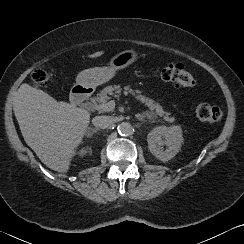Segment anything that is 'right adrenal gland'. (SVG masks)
Wrapping results in <instances>:
<instances>
[{
    "label": "right adrenal gland",
    "mask_w": 244,
    "mask_h": 244,
    "mask_svg": "<svg viewBox=\"0 0 244 244\" xmlns=\"http://www.w3.org/2000/svg\"><path fill=\"white\" fill-rule=\"evenodd\" d=\"M98 130H99L98 128H94V129H92V133H91V134L96 133Z\"/></svg>",
    "instance_id": "right-adrenal-gland-1"
}]
</instances>
